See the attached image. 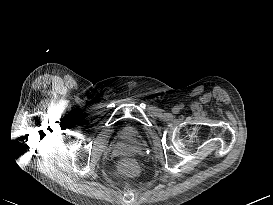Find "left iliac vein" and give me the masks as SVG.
Masks as SVG:
<instances>
[{"label": "left iliac vein", "instance_id": "left-iliac-vein-1", "mask_svg": "<svg viewBox=\"0 0 273 205\" xmlns=\"http://www.w3.org/2000/svg\"><path fill=\"white\" fill-rule=\"evenodd\" d=\"M172 112L174 114L178 113L179 112V107H177V106L173 107Z\"/></svg>", "mask_w": 273, "mask_h": 205}]
</instances>
